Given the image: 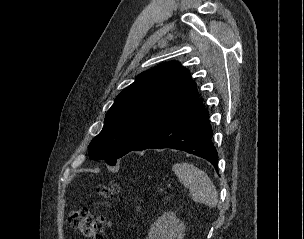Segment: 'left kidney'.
Masks as SVG:
<instances>
[{
  "label": "left kidney",
  "instance_id": "1",
  "mask_svg": "<svg viewBox=\"0 0 304 239\" xmlns=\"http://www.w3.org/2000/svg\"><path fill=\"white\" fill-rule=\"evenodd\" d=\"M185 225L174 212H165L151 225L146 239H183Z\"/></svg>",
  "mask_w": 304,
  "mask_h": 239
}]
</instances>
